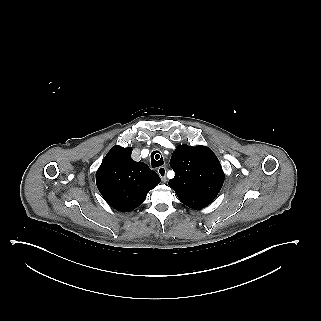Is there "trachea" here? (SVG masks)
I'll use <instances>...</instances> for the list:
<instances>
[{
  "label": "trachea",
  "mask_w": 321,
  "mask_h": 321,
  "mask_svg": "<svg viewBox=\"0 0 321 321\" xmlns=\"http://www.w3.org/2000/svg\"><path fill=\"white\" fill-rule=\"evenodd\" d=\"M164 161H163V157L160 156L159 152L158 151H153L151 153V164H152V167L155 168V167H159L161 165H163Z\"/></svg>",
  "instance_id": "obj_1"
}]
</instances>
